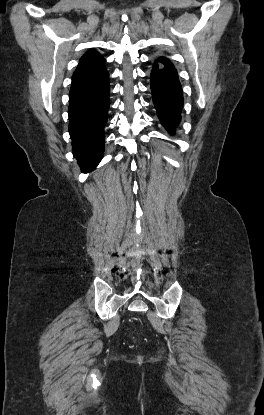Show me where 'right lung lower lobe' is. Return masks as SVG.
Returning a JSON list of instances; mask_svg holds the SVG:
<instances>
[{
	"label": "right lung lower lobe",
	"instance_id": "1",
	"mask_svg": "<svg viewBox=\"0 0 264 415\" xmlns=\"http://www.w3.org/2000/svg\"><path fill=\"white\" fill-rule=\"evenodd\" d=\"M109 73L72 80L69 92V133L82 172L93 170L104 152V127L109 109Z\"/></svg>",
	"mask_w": 264,
	"mask_h": 415
}]
</instances>
